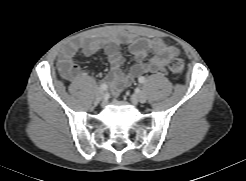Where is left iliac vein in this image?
<instances>
[{"instance_id": "1", "label": "left iliac vein", "mask_w": 246, "mask_h": 181, "mask_svg": "<svg viewBox=\"0 0 246 181\" xmlns=\"http://www.w3.org/2000/svg\"><path fill=\"white\" fill-rule=\"evenodd\" d=\"M133 100L139 102V103H145L146 102V95L144 92H138L133 95Z\"/></svg>"}]
</instances>
